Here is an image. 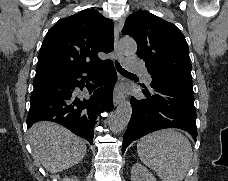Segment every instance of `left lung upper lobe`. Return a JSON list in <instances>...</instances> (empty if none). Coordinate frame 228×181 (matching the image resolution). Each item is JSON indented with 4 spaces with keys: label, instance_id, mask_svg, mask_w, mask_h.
<instances>
[{
    "label": "left lung upper lobe",
    "instance_id": "obj_1",
    "mask_svg": "<svg viewBox=\"0 0 228 181\" xmlns=\"http://www.w3.org/2000/svg\"><path fill=\"white\" fill-rule=\"evenodd\" d=\"M122 34L135 39L137 56L146 62L150 75L193 87L188 45L174 24L148 11H138L128 16Z\"/></svg>",
    "mask_w": 228,
    "mask_h": 181
}]
</instances>
